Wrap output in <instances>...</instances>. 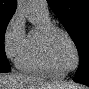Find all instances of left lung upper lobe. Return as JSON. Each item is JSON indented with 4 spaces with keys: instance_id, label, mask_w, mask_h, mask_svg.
I'll list each match as a JSON object with an SVG mask.
<instances>
[{
    "instance_id": "5c2ea615",
    "label": "left lung upper lobe",
    "mask_w": 89,
    "mask_h": 89,
    "mask_svg": "<svg viewBox=\"0 0 89 89\" xmlns=\"http://www.w3.org/2000/svg\"><path fill=\"white\" fill-rule=\"evenodd\" d=\"M73 39L80 63L76 75L89 74V0H47Z\"/></svg>"
}]
</instances>
